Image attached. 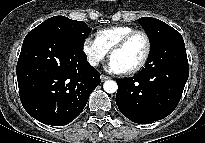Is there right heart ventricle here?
<instances>
[{
  "instance_id": "right-heart-ventricle-1",
  "label": "right heart ventricle",
  "mask_w": 205,
  "mask_h": 143,
  "mask_svg": "<svg viewBox=\"0 0 205 143\" xmlns=\"http://www.w3.org/2000/svg\"><path fill=\"white\" fill-rule=\"evenodd\" d=\"M133 30L135 28L127 25L112 26L99 30L96 39L107 51H110L118 41Z\"/></svg>"
}]
</instances>
